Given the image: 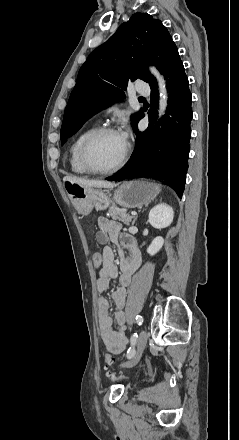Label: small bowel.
<instances>
[{
    "label": "small bowel",
    "instance_id": "small-bowel-1",
    "mask_svg": "<svg viewBox=\"0 0 239 440\" xmlns=\"http://www.w3.org/2000/svg\"><path fill=\"white\" fill-rule=\"evenodd\" d=\"M98 236L101 244H105L102 254V268L98 272L96 281L99 293H104L110 279H117L119 286L111 293V300L115 306L113 318L109 314V301L106 297H99L97 301L98 325L100 336L107 350L112 354H120L127 346L124 306L126 287L130 285L134 272L141 264V252L135 239L128 234H121V225L106 217L97 220ZM114 243L119 251V269L114 262L113 248L108 245ZM122 247L126 248L125 253ZM116 323L117 329L113 327Z\"/></svg>",
    "mask_w": 239,
    "mask_h": 440
}]
</instances>
